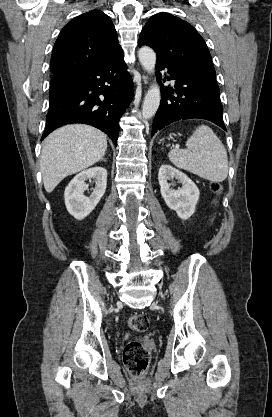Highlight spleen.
<instances>
[{"instance_id": "obj_1", "label": "spleen", "mask_w": 272, "mask_h": 417, "mask_svg": "<svg viewBox=\"0 0 272 417\" xmlns=\"http://www.w3.org/2000/svg\"><path fill=\"white\" fill-rule=\"evenodd\" d=\"M168 156L176 167L201 178L215 183L227 178V151L209 126L197 127L187 139L186 149H172Z\"/></svg>"}]
</instances>
